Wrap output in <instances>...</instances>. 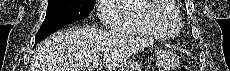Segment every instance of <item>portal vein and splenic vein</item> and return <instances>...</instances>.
I'll use <instances>...</instances> for the list:
<instances>
[{"label":"portal vein and splenic vein","instance_id":"18ae733b","mask_svg":"<svg viewBox=\"0 0 230 71\" xmlns=\"http://www.w3.org/2000/svg\"><path fill=\"white\" fill-rule=\"evenodd\" d=\"M99 61H100L99 56H97L96 58H94V60H93V68H97L98 67Z\"/></svg>","mask_w":230,"mask_h":71}]
</instances>
